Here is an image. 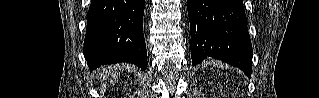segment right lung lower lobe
Segmentation results:
<instances>
[{"label":"right lung lower lobe","instance_id":"obj_1","mask_svg":"<svg viewBox=\"0 0 319 98\" xmlns=\"http://www.w3.org/2000/svg\"><path fill=\"white\" fill-rule=\"evenodd\" d=\"M144 3L145 0H91L83 50L91 71L118 62L147 68Z\"/></svg>","mask_w":319,"mask_h":98}]
</instances>
